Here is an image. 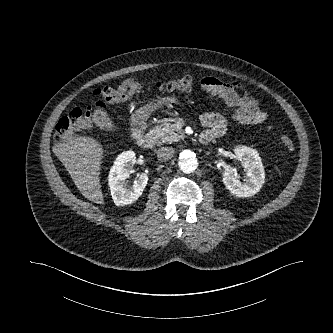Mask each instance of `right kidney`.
<instances>
[{
	"label": "right kidney",
	"instance_id": "1",
	"mask_svg": "<svg viewBox=\"0 0 333 333\" xmlns=\"http://www.w3.org/2000/svg\"><path fill=\"white\" fill-rule=\"evenodd\" d=\"M136 162L135 153L126 151L115 160L108 177V183L114 203L117 206H125L136 201L143 193L148 182V176L144 173L138 175L132 186H127L125 180Z\"/></svg>",
	"mask_w": 333,
	"mask_h": 333
}]
</instances>
